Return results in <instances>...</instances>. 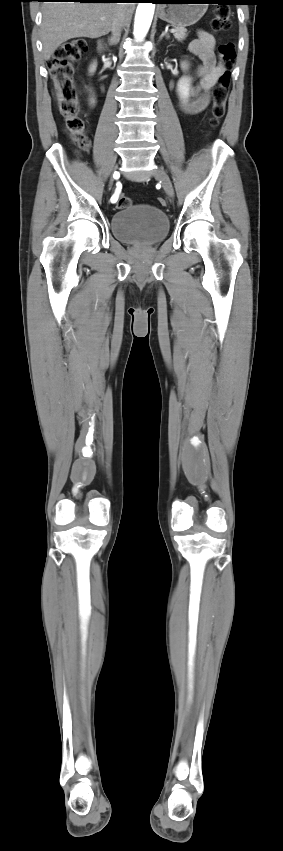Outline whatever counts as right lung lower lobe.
<instances>
[{
  "instance_id": "98d812e1",
  "label": "right lung lower lobe",
  "mask_w": 283,
  "mask_h": 851,
  "mask_svg": "<svg viewBox=\"0 0 283 851\" xmlns=\"http://www.w3.org/2000/svg\"><path fill=\"white\" fill-rule=\"evenodd\" d=\"M42 1H75V2H111V3H121V2H137L139 0H42Z\"/></svg>"
}]
</instances>
